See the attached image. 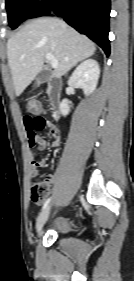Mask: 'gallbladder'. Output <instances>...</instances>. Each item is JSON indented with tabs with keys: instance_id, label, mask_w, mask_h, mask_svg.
<instances>
[{
	"instance_id": "obj_1",
	"label": "gallbladder",
	"mask_w": 134,
	"mask_h": 281,
	"mask_svg": "<svg viewBox=\"0 0 134 281\" xmlns=\"http://www.w3.org/2000/svg\"><path fill=\"white\" fill-rule=\"evenodd\" d=\"M51 77V73L47 70H42L36 77L35 86H39L42 83L47 82Z\"/></svg>"
}]
</instances>
